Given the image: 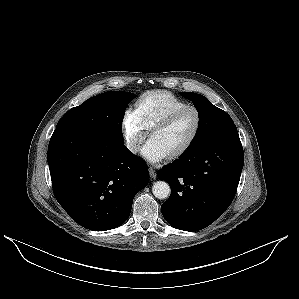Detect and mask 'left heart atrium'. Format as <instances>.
I'll use <instances>...</instances> for the list:
<instances>
[{"label": "left heart atrium", "instance_id": "1", "mask_svg": "<svg viewBox=\"0 0 299 299\" xmlns=\"http://www.w3.org/2000/svg\"><path fill=\"white\" fill-rule=\"evenodd\" d=\"M143 157L149 162L156 163L168 156L166 150L153 138H150L141 151Z\"/></svg>", "mask_w": 299, "mask_h": 299}]
</instances>
